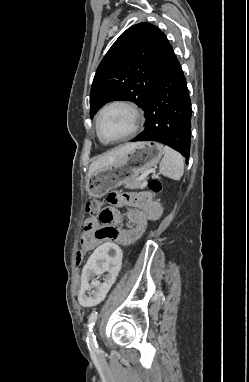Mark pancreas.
Masks as SVG:
<instances>
[{
	"instance_id": "pancreas-1",
	"label": "pancreas",
	"mask_w": 249,
	"mask_h": 382,
	"mask_svg": "<svg viewBox=\"0 0 249 382\" xmlns=\"http://www.w3.org/2000/svg\"><path fill=\"white\" fill-rule=\"evenodd\" d=\"M146 179L139 180L136 177L128 178L125 181V188L127 189H139L145 185Z\"/></svg>"
}]
</instances>
